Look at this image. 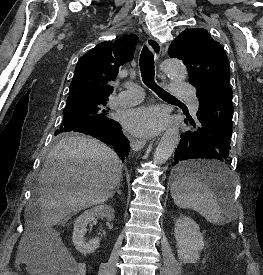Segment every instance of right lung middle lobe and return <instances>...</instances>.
<instances>
[{"label":"right lung middle lobe","instance_id":"dd1d6c3e","mask_svg":"<svg viewBox=\"0 0 263 275\" xmlns=\"http://www.w3.org/2000/svg\"><path fill=\"white\" fill-rule=\"evenodd\" d=\"M107 98L95 95H75L67 98L63 121L55 131L54 141H61L66 134L79 127H101L108 123Z\"/></svg>","mask_w":263,"mask_h":275}]
</instances>
